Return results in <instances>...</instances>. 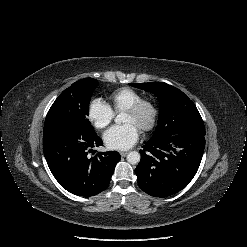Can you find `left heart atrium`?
Listing matches in <instances>:
<instances>
[{"label":"left heart atrium","mask_w":247,"mask_h":247,"mask_svg":"<svg viewBox=\"0 0 247 247\" xmlns=\"http://www.w3.org/2000/svg\"><path fill=\"white\" fill-rule=\"evenodd\" d=\"M139 139V129L133 123L111 127L104 133L106 146L114 150H127Z\"/></svg>","instance_id":"obj_1"}]
</instances>
